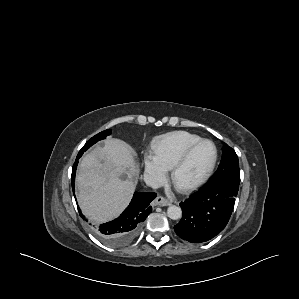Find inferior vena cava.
<instances>
[{"instance_id":"obj_1","label":"inferior vena cava","mask_w":299,"mask_h":299,"mask_svg":"<svg viewBox=\"0 0 299 299\" xmlns=\"http://www.w3.org/2000/svg\"><path fill=\"white\" fill-rule=\"evenodd\" d=\"M144 181L146 183L147 186L153 188V189H157L160 187V183L158 182V180L151 176V175H145L144 176Z\"/></svg>"}]
</instances>
